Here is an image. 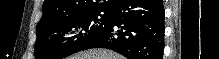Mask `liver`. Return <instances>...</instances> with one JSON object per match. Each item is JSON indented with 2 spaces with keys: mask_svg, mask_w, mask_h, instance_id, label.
<instances>
[{
  "mask_svg": "<svg viewBox=\"0 0 219 59\" xmlns=\"http://www.w3.org/2000/svg\"><path fill=\"white\" fill-rule=\"evenodd\" d=\"M68 59H124V57L109 50L91 49L79 52Z\"/></svg>",
  "mask_w": 219,
  "mask_h": 59,
  "instance_id": "1",
  "label": "liver"
}]
</instances>
